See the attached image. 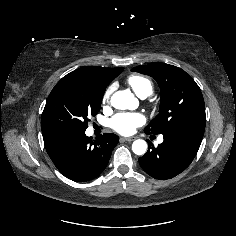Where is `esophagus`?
Listing matches in <instances>:
<instances>
[{"mask_svg":"<svg viewBox=\"0 0 236 236\" xmlns=\"http://www.w3.org/2000/svg\"><path fill=\"white\" fill-rule=\"evenodd\" d=\"M121 140L131 142V141L135 140V137H122Z\"/></svg>","mask_w":236,"mask_h":236,"instance_id":"34e87169","label":"esophagus"}]
</instances>
